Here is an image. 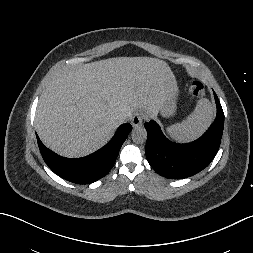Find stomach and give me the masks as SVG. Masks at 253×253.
<instances>
[{
  "instance_id": "obj_1",
  "label": "stomach",
  "mask_w": 253,
  "mask_h": 253,
  "mask_svg": "<svg viewBox=\"0 0 253 253\" xmlns=\"http://www.w3.org/2000/svg\"><path fill=\"white\" fill-rule=\"evenodd\" d=\"M177 97H178V87L177 82L175 80L173 84H170L168 86L167 99L160 109V113L163 117H170L175 114L177 108L176 106Z\"/></svg>"
}]
</instances>
